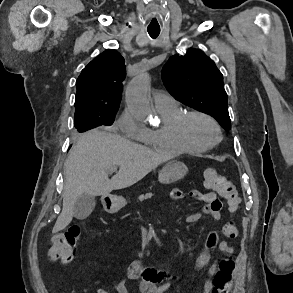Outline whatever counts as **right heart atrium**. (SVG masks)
<instances>
[{"label":"right heart atrium","mask_w":293,"mask_h":293,"mask_svg":"<svg viewBox=\"0 0 293 293\" xmlns=\"http://www.w3.org/2000/svg\"><path fill=\"white\" fill-rule=\"evenodd\" d=\"M116 124L121 132L131 138L142 141L146 137L147 128L142 126L137 121V119L128 108L124 109V111L119 116Z\"/></svg>","instance_id":"obj_1"}]
</instances>
